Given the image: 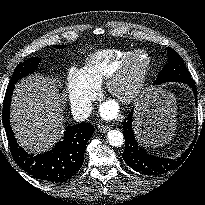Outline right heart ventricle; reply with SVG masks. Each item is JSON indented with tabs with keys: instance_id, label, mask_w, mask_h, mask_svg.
<instances>
[{
	"instance_id": "obj_1",
	"label": "right heart ventricle",
	"mask_w": 205,
	"mask_h": 205,
	"mask_svg": "<svg viewBox=\"0 0 205 205\" xmlns=\"http://www.w3.org/2000/svg\"><path fill=\"white\" fill-rule=\"evenodd\" d=\"M132 49H105L93 53L84 63L80 72L84 79L99 87L114 72Z\"/></svg>"
}]
</instances>
